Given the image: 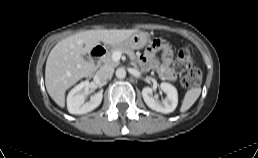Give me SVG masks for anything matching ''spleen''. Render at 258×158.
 <instances>
[{"instance_id":"spleen-1","label":"spleen","mask_w":258,"mask_h":158,"mask_svg":"<svg viewBox=\"0 0 258 158\" xmlns=\"http://www.w3.org/2000/svg\"><path fill=\"white\" fill-rule=\"evenodd\" d=\"M201 94V88L200 87H195L189 89L184 96L180 112H185L188 109L191 108V106L196 102V100L199 98Z\"/></svg>"}]
</instances>
